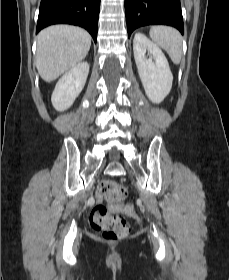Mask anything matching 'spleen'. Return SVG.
I'll return each mask as SVG.
<instances>
[{"mask_svg":"<svg viewBox=\"0 0 229 280\" xmlns=\"http://www.w3.org/2000/svg\"><path fill=\"white\" fill-rule=\"evenodd\" d=\"M150 37L153 42L164 49L175 64H179L182 58V36L176 29L157 25L150 29Z\"/></svg>","mask_w":229,"mask_h":280,"instance_id":"3e777b00","label":"spleen"}]
</instances>
